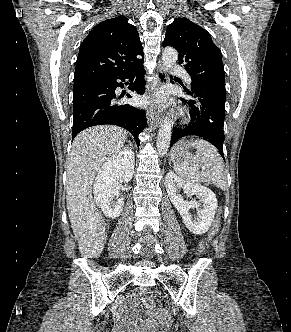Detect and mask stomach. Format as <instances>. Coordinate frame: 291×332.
<instances>
[{
	"instance_id": "obj_1",
	"label": "stomach",
	"mask_w": 291,
	"mask_h": 332,
	"mask_svg": "<svg viewBox=\"0 0 291 332\" xmlns=\"http://www.w3.org/2000/svg\"><path fill=\"white\" fill-rule=\"evenodd\" d=\"M190 145L185 142H178L171 152V160L173 163H182L188 161L191 157L189 152Z\"/></svg>"
}]
</instances>
